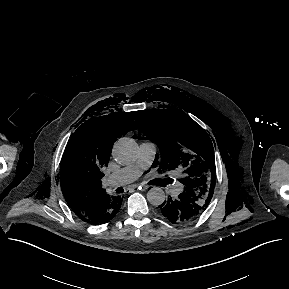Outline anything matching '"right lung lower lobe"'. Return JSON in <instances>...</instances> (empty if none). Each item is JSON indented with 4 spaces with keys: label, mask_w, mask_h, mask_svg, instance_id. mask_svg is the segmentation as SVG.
<instances>
[{
    "label": "right lung lower lobe",
    "mask_w": 289,
    "mask_h": 289,
    "mask_svg": "<svg viewBox=\"0 0 289 289\" xmlns=\"http://www.w3.org/2000/svg\"><path fill=\"white\" fill-rule=\"evenodd\" d=\"M121 203L122 198L120 196L106 195L97 202L91 212L79 218L93 225L106 223L115 216Z\"/></svg>",
    "instance_id": "right-lung-lower-lobe-1"
}]
</instances>
